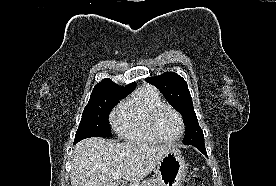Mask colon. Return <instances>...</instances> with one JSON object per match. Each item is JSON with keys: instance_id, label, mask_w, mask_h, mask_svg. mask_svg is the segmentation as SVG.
I'll list each match as a JSON object with an SVG mask.
<instances>
[{"instance_id": "obj_1", "label": "colon", "mask_w": 276, "mask_h": 186, "mask_svg": "<svg viewBox=\"0 0 276 186\" xmlns=\"http://www.w3.org/2000/svg\"><path fill=\"white\" fill-rule=\"evenodd\" d=\"M182 186H205V183L200 177H190Z\"/></svg>"}]
</instances>
